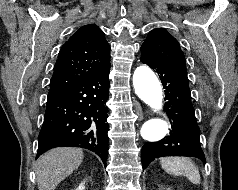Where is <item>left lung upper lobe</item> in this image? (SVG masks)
I'll return each instance as SVG.
<instances>
[{
	"label": "left lung upper lobe",
	"instance_id": "left-lung-upper-lobe-1",
	"mask_svg": "<svg viewBox=\"0 0 238 190\" xmlns=\"http://www.w3.org/2000/svg\"><path fill=\"white\" fill-rule=\"evenodd\" d=\"M141 55L158 62L186 67L185 56L178 41L164 28L150 31L141 46Z\"/></svg>",
	"mask_w": 238,
	"mask_h": 190
}]
</instances>
